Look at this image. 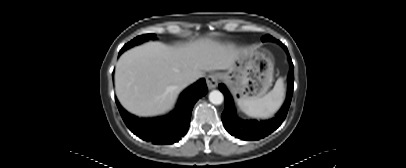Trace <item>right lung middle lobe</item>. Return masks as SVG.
<instances>
[{"label":"right lung middle lobe","mask_w":406,"mask_h":168,"mask_svg":"<svg viewBox=\"0 0 406 168\" xmlns=\"http://www.w3.org/2000/svg\"><path fill=\"white\" fill-rule=\"evenodd\" d=\"M155 38V34H145V35H141L138 36L136 38H134L132 41H130L129 43H127L122 49L121 51L126 50L127 48H130L134 45H138L144 41H147L148 39H154Z\"/></svg>","instance_id":"1"}]
</instances>
